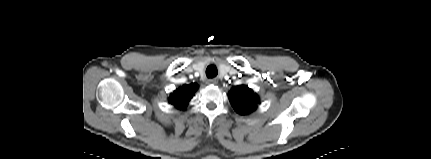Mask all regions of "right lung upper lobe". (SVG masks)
<instances>
[{"label": "right lung upper lobe", "mask_w": 431, "mask_h": 159, "mask_svg": "<svg viewBox=\"0 0 431 159\" xmlns=\"http://www.w3.org/2000/svg\"><path fill=\"white\" fill-rule=\"evenodd\" d=\"M198 88L197 84L183 85L180 89L170 95L169 101L179 109H185L188 101Z\"/></svg>", "instance_id": "right-lung-upper-lobe-1"}]
</instances>
